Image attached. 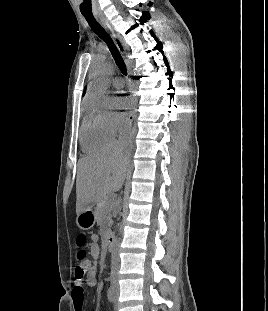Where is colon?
Masks as SVG:
<instances>
[{"label":"colon","mask_w":268,"mask_h":311,"mask_svg":"<svg viewBox=\"0 0 268 311\" xmlns=\"http://www.w3.org/2000/svg\"><path fill=\"white\" fill-rule=\"evenodd\" d=\"M85 236L81 235L78 238V246L83 247L85 244ZM90 267V261L87 257V252L84 249H80L76 254V267L75 278L82 280L86 275Z\"/></svg>","instance_id":"obj_1"}]
</instances>
